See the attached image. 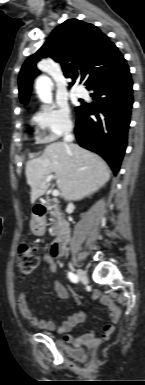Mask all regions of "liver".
Masks as SVG:
<instances>
[{"mask_svg":"<svg viewBox=\"0 0 145 385\" xmlns=\"http://www.w3.org/2000/svg\"><path fill=\"white\" fill-rule=\"evenodd\" d=\"M55 174L64 200L78 201L98 191L110 179L107 163L97 154L77 144L54 142L43 154L26 163L25 174L31 187V203L46 193L49 175Z\"/></svg>","mask_w":145,"mask_h":385,"instance_id":"liver-1","label":"liver"}]
</instances>
